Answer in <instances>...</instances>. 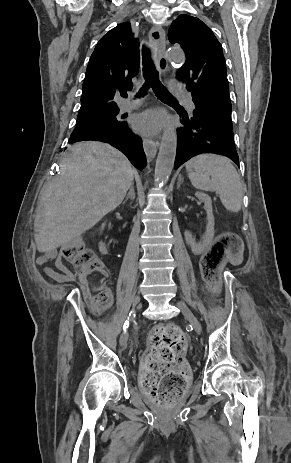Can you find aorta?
I'll list each match as a JSON object with an SVG mask.
<instances>
[{
	"instance_id": "762f6f07",
	"label": "aorta",
	"mask_w": 291,
	"mask_h": 463,
	"mask_svg": "<svg viewBox=\"0 0 291 463\" xmlns=\"http://www.w3.org/2000/svg\"><path fill=\"white\" fill-rule=\"evenodd\" d=\"M167 59L171 63L182 65L185 62V55L180 50L171 49L167 52ZM177 149L176 129L171 121L164 128L155 166V183L164 185L167 183L175 161Z\"/></svg>"
}]
</instances>
